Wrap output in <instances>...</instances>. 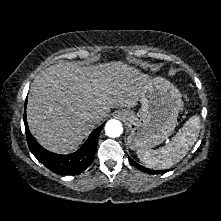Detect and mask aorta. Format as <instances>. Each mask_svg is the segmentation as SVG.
Returning a JSON list of instances; mask_svg holds the SVG:
<instances>
[{
    "label": "aorta",
    "instance_id": "762f6f07",
    "mask_svg": "<svg viewBox=\"0 0 221 221\" xmlns=\"http://www.w3.org/2000/svg\"><path fill=\"white\" fill-rule=\"evenodd\" d=\"M106 135L112 138L119 137L123 132V127L120 121L112 119L106 123Z\"/></svg>",
    "mask_w": 221,
    "mask_h": 221
}]
</instances>
